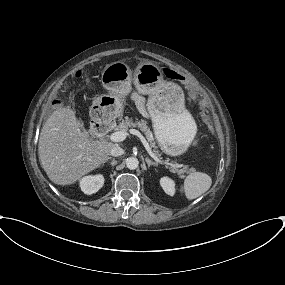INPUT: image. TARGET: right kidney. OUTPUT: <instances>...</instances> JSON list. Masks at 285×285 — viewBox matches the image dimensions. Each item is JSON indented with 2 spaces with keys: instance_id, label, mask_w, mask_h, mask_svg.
I'll return each instance as SVG.
<instances>
[{
  "instance_id": "obj_1",
  "label": "right kidney",
  "mask_w": 285,
  "mask_h": 285,
  "mask_svg": "<svg viewBox=\"0 0 285 285\" xmlns=\"http://www.w3.org/2000/svg\"><path fill=\"white\" fill-rule=\"evenodd\" d=\"M103 184L104 177L100 174L94 176H86L80 181L81 190L87 195L96 193L99 189L102 188Z\"/></svg>"
}]
</instances>
